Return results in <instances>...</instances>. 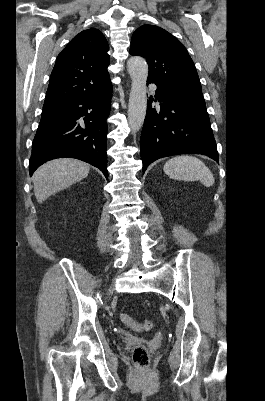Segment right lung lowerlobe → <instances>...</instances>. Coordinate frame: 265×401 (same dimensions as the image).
<instances>
[{"label": "right lung lower lobe", "instance_id": "obj_1", "mask_svg": "<svg viewBox=\"0 0 265 401\" xmlns=\"http://www.w3.org/2000/svg\"><path fill=\"white\" fill-rule=\"evenodd\" d=\"M111 95L110 82L99 92L43 108L32 144L30 176L46 161L71 157L99 168L108 178L106 119Z\"/></svg>", "mask_w": 265, "mask_h": 401}]
</instances>
